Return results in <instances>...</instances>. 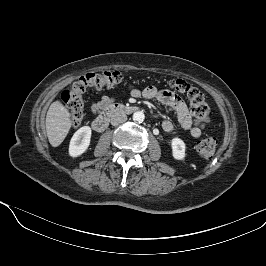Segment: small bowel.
<instances>
[{
	"label": "small bowel",
	"mask_w": 266,
	"mask_h": 266,
	"mask_svg": "<svg viewBox=\"0 0 266 266\" xmlns=\"http://www.w3.org/2000/svg\"><path fill=\"white\" fill-rule=\"evenodd\" d=\"M130 95L134 98L155 100L163 105L172 108L176 113L180 126L183 129L189 131L191 136H193L194 138L201 136L205 127L204 124L195 125L193 123L186 104L175 93L169 90L158 89L154 86H148L142 90L132 87L130 88ZM111 102V98L104 96L98 102L92 105V111L94 113H97ZM162 129L166 133H171L174 131V124L169 120H164L162 122Z\"/></svg>",
	"instance_id": "small-bowel-1"
}]
</instances>
